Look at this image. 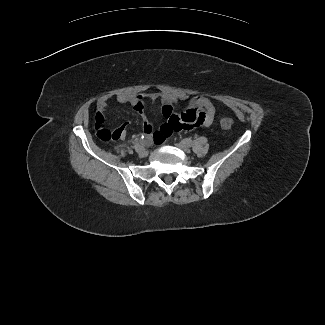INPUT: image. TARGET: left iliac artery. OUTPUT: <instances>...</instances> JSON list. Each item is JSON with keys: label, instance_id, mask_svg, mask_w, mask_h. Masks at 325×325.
<instances>
[{"label": "left iliac artery", "instance_id": "obj_1", "mask_svg": "<svg viewBox=\"0 0 325 325\" xmlns=\"http://www.w3.org/2000/svg\"><path fill=\"white\" fill-rule=\"evenodd\" d=\"M182 143L187 145V146H191L192 145V140L190 138H186L182 140Z\"/></svg>", "mask_w": 325, "mask_h": 325}]
</instances>
